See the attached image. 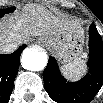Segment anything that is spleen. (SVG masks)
<instances>
[{"mask_svg":"<svg viewBox=\"0 0 103 103\" xmlns=\"http://www.w3.org/2000/svg\"><path fill=\"white\" fill-rule=\"evenodd\" d=\"M61 71L68 79L76 80L84 75L87 72V69L84 60L77 59L72 63L63 65Z\"/></svg>","mask_w":103,"mask_h":103,"instance_id":"spleen-1","label":"spleen"}]
</instances>
